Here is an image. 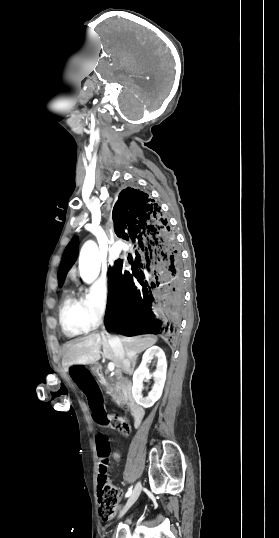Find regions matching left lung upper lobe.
I'll use <instances>...</instances> for the list:
<instances>
[{"mask_svg":"<svg viewBox=\"0 0 279 538\" xmlns=\"http://www.w3.org/2000/svg\"><path fill=\"white\" fill-rule=\"evenodd\" d=\"M78 247V237H74L64 251L60 264V270L58 272L59 287L63 285L68 270L71 268V266L77 259Z\"/></svg>","mask_w":279,"mask_h":538,"instance_id":"1","label":"left lung upper lobe"}]
</instances>
